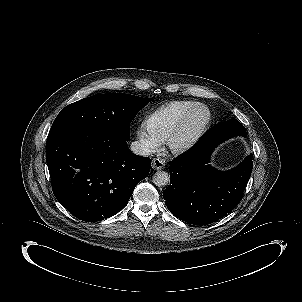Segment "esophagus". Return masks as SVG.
Segmentation results:
<instances>
[{
	"label": "esophagus",
	"instance_id": "esophagus-1",
	"mask_svg": "<svg viewBox=\"0 0 302 302\" xmlns=\"http://www.w3.org/2000/svg\"><path fill=\"white\" fill-rule=\"evenodd\" d=\"M151 166L154 170H161L165 166V161L161 158H154L152 160Z\"/></svg>",
	"mask_w": 302,
	"mask_h": 302
}]
</instances>
